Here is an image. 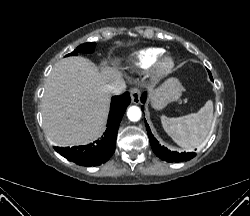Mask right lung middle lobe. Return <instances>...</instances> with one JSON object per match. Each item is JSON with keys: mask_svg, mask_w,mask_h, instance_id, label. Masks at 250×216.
Returning <instances> with one entry per match:
<instances>
[{"mask_svg": "<svg viewBox=\"0 0 250 216\" xmlns=\"http://www.w3.org/2000/svg\"><path fill=\"white\" fill-rule=\"evenodd\" d=\"M95 43H86L78 46L76 50H74L72 53L68 54L67 56L71 55H77L78 53H92L94 51Z\"/></svg>", "mask_w": 250, "mask_h": 216, "instance_id": "right-lung-middle-lobe-1", "label": "right lung middle lobe"}]
</instances>
